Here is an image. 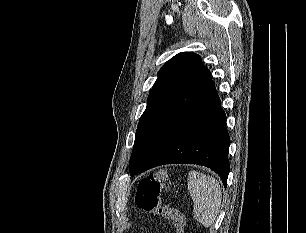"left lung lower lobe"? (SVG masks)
Segmentation results:
<instances>
[{
	"instance_id": "1",
	"label": "left lung lower lobe",
	"mask_w": 306,
	"mask_h": 233,
	"mask_svg": "<svg viewBox=\"0 0 306 233\" xmlns=\"http://www.w3.org/2000/svg\"><path fill=\"white\" fill-rule=\"evenodd\" d=\"M226 115L215 86L165 134L136 174L150 168L176 163H192L215 171L226 187L229 174Z\"/></svg>"
}]
</instances>
